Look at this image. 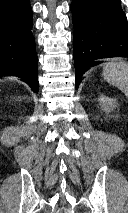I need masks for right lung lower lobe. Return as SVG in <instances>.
Returning <instances> with one entry per match:
<instances>
[{"instance_id":"98d812e1","label":"right lung lower lobe","mask_w":128,"mask_h":213,"mask_svg":"<svg viewBox=\"0 0 128 213\" xmlns=\"http://www.w3.org/2000/svg\"><path fill=\"white\" fill-rule=\"evenodd\" d=\"M29 0H0V76H17L39 90Z\"/></svg>"}]
</instances>
